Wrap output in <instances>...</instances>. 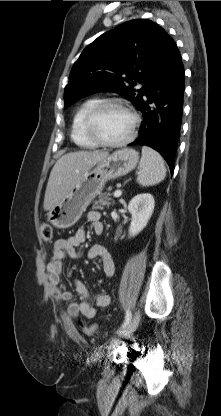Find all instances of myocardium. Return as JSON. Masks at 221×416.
<instances>
[{
	"mask_svg": "<svg viewBox=\"0 0 221 416\" xmlns=\"http://www.w3.org/2000/svg\"><path fill=\"white\" fill-rule=\"evenodd\" d=\"M119 107L123 110H125L132 118V124L129 134L119 141H108L102 138L99 133L96 131L95 124L97 121V118L99 115L108 107ZM139 116L138 114L126 103L119 99H105L100 101L87 115L85 120V132L89 136L90 139H92L97 145L105 146V147H111V148H118L122 147L128 143H130L136 133L139 126Z\"/></svg>",
	"mask_w": 221,
	"mask_h": 416,
	"instance_id": "f54148a6",
	"label": "myocardium"
}]
</instances>
